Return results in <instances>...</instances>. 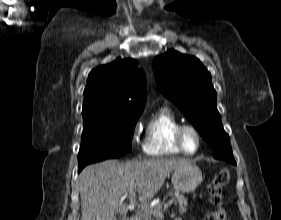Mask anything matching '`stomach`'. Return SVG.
I'll return each instance as SVG.
<instances>
[{
  "label": "stomach",
  "instance_id": "obj_1",
  "mask_svg": "<svg viewBox=\"0 0 281 220\" xmlns=\"http://www.w3.org/2000/svg\"><path fill=\"white\" fill-rule=\"evenodd\" d=\"M171 182L177 191L189 193L202 182V172L194 164L184 166L174 170Z\"/></svg>",
  "mask_w": 281,
  "mask_h": 220
}]
</instances>
